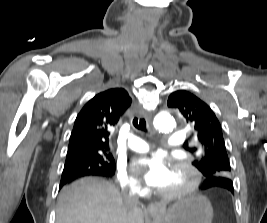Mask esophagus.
I'll list each match as a JSON object with an SVG mask.
<instances>
[{
  "instance_id": "1",
  "label": "esophagus",
  "mask_w": 267,
  "mask_h": 223,
  "mask_svg": "<svg viewBox=\"0 0 267 223\" xmlns=\"http://www.w3.org/2000/svg\"><path fill=\"white\" fill-rule=\"evenodd\" d=\"M140 116L143 118H146V119L148 118V114L144 110L140 111ZM148 211L149 212H159V211H161V206L159 204H156V203H151L148 205Z\"/></svg>"
}]
</instances>
